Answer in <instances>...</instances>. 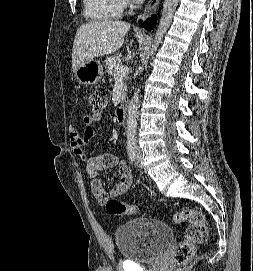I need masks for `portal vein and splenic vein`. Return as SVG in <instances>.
<instances>
[{
    "label": "portal vein and splenic vein",
    "instance_id": "18ae733b",
    "mask_svg": "<svg viewBox=\"0 0 253 271\" xmlns=\"http://www.w3.org/2000/svg\"><path fill=\"white\" fill-rule=\"evenodd\" d=\"M129 73V68L127 66H121L117 68V77H125Z\"/></svg>",
    "mask_w": 253,
    "mask_h": 271
}]
</instances>
